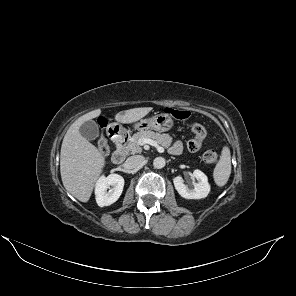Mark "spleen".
I'll list each match as a JSON object with an SVG mask.
<instances>
[{"label": "spleen", "instance_id": "3e777b00", "mask_svg": "<svg viewBox=\"0 0 296 296\" xmlns=\"http://www.w3.org/2000/svg\"><path fill=\"white\" fill-rule=\"evenodd\" d=\"M231 174V154L228 147H223L220 159L213 171L214 182L217 186H224Z\"/></svg>", "mask_w": 296, "mask_h": 296}]
</instances>
